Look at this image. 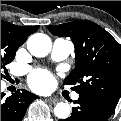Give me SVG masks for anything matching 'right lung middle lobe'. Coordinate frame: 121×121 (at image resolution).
<instances>
[{"mask_svg":"<svg viewBox=\"0 0 121 121\" xmlns=\"http://www.w3.org/2000/svg\"><path fill=\"white\" fill-rule=\"evenodd\" d=\"M23 43L7 29L1 28V77L4 76L2 72L6 70L5 65L14 59L16 50Z\"/></svg>","mask_w":121,"mask_h":121,"instance_id":"obj_1","label":"right lung middle lobe"}]
</instances>
